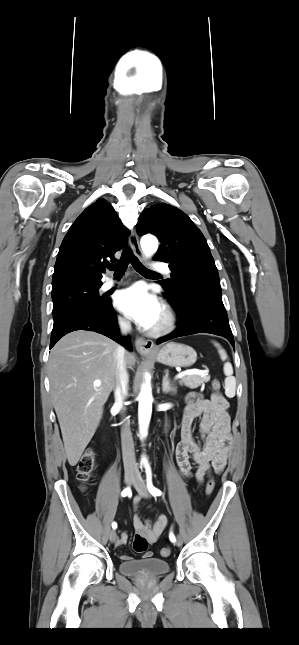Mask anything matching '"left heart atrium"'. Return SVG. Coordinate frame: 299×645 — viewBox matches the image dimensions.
<instances>
[{"mask_svg":"<svg viewBox=\"0 0 299 645\" xmlns=\"http://www.w3.org/2000/svg\"><path fill=\"white\" fill-rule=\"evenodd\" d=\"M116 307L144 328L155 325L161 314V305L141 284H135L118 292Z\"/></svg>","mask_w":299,"mask_h":645,"instance_id":"39dd6f15","label":"left heart atrium"}]
</instances>
